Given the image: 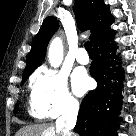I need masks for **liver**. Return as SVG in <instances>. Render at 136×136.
I'll return each mask as SVG.
<instances>
[{"label":"liver","instance_id":"liver-1","mask_svg":"<svg viewBox=\"0 0 136 136\" xmlns=\"http://www.w3.org/2000/svg\"><path fill=\"white\" fill-rule=\"evenodd\" d=\"M16 136H61L53 125L36 124L21 128Z\"/></svg>","mask_w":136,"mask_h":136}]
</instances>
